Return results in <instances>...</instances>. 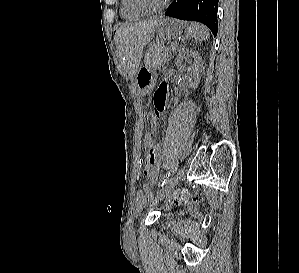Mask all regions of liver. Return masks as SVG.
Segmentation results:
<instances>
[{
	"mask_svg": "<svg viewBox=\"0 0 299 273\" xmlns=\"http://www.w3.org/2000/svg\"><path fill=\"white\" fill-rule=\"evenodd\" d=\"M160 19L122 24L114 40L119 56L128 73L133 77L138 72L144 47L153 39Z\"/></svg>",
	"mask_w": 299,
	"mask_h": 273,
	"instance_id": "obj_1",
	"label": "liver"
}]
</instances>
